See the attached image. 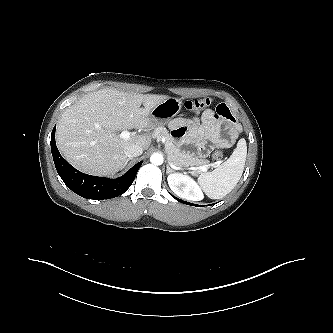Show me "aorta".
I'll return each instance as SVG.
<instances>
[{"mask_svg": "<svg viewBox=\"0 0 333 333\" xmlns=\"http://www.w3.org/2000/svg\"><path fill=\"white\" fill-rule=\"evenodd\" d=\"M150 161L154 165H161L163 163V156L160 153H154L151 155Z\"/></svg>", "mask_w": 333, "mask_h": 333, "instance_id": "762f6f07", "label": "aorta"}]
</instances>
